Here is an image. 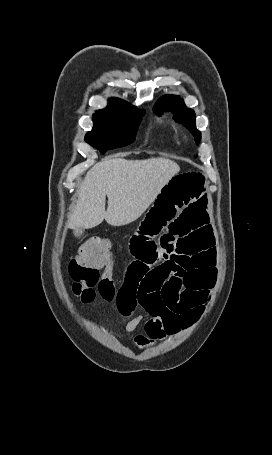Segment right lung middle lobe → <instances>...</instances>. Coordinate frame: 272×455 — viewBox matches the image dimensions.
<instances>
[{"instance_id":"dd1d6c3e","label":"right lung middle lobe","mask_w":272,"mask_h":455,"mask_svg":"<svg viewBox=\"0 0 272 455\" xmlns=\"http://www.w3.org/2000/svg\"><path fill=\"white\" fill-rule=\"evenodd\" d=\"M144 113L143 109L132 105L116 112L95 113L93 129L86 134L85 141L102 154L131 144Z\"/></svg>"}]
</instances>
